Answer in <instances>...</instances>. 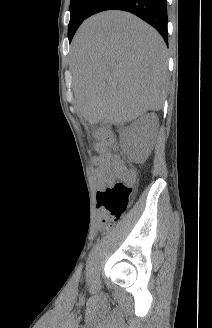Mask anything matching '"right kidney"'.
Wrapping results in <instances>:
<instances>
[{"label":"right kidney","mask_w":212,"mask_h":328,"mask_svg":"<svg viewBox=\"0 0 212 328\" xmlns=\"http://www.w3.org/2000/svg\"><path fill=\"white\" fill-rule=\"evenodd\" d=\"M158 117L154 113L140 117L129 127L131 153L137 155L148 143L150 136L157 132Z\"/></svg>","instance_id":"right-kidney-1"}]
</instances>
